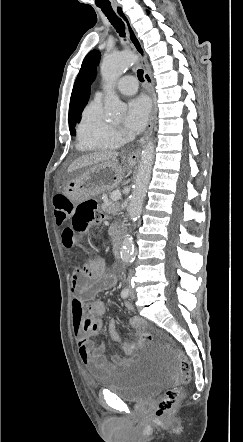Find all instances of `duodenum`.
I'll use <instances>...</instances> for the list:
<instances>
[{
    "mask_svg": "<svg viewBox=\"0 0 243 442\" xmlns=\"http://www.w3.org/2000/svg\"><path fill=\"white\" fill-rule=\"evenodd\" d=\"M114 237H115L114 251L119 256L122 251V247H121L122 233H121V231L115 232Z\"/></svg>",
    "mask_w": 243,
    "mask_h": 442,
    "instance_id": "1",
    "label": "duodenum"
}]
</instances>
